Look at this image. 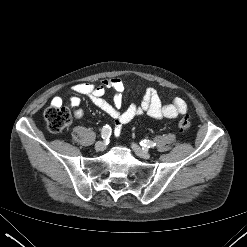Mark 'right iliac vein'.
Wrapping results in <instances>:
<instances>
[{"instance_id": "obj_1", "label": "right iliac vein", "mask_w": 247, "mask_h": 247, "mask_svg": "<svg viewBox=\"0 0 247 247\" xmlns=\"http://www.w3.org/2000/svg\"><path fill=\"white\" fill-rule=\"evenodd\" d=\"M105 149V142L104 141H98L96 144H95V150L96 151H102Z\"/></svg>"}]
</instances>
